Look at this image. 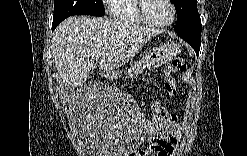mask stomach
Here are the masks:
<instances>
[{
    "mask_svg": "<svg viewBox=\"0 0 247 156\" xmlns=\"http://www.w3.org/2000/svg\"><path fill=\"white\" fill-rule=\"evenodd\" d=\"M181 46L175 42H168L159 47H156L146 53L143 57V60L139 64L129 65L125 71V75H133L135 72L141 68L155 69L159 68L162 65H165L172 61L177 54H179ZM120 74H113L111 77H118Z\"/></svg>",
    "mask_w": 247,
    "mask_h": 156,
    "instance_id": "obj_1",
    "label": "stomach"
}]
</instances>
